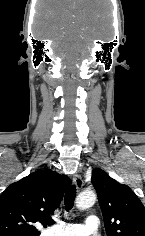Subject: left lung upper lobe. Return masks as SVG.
I'll return each instance as SVG.
<instances>
[{
  "instance_id": "5c2ea615",
  "label": "left lung upper lobe",
  "mask_w": 145,
  "mask_h": 236,
  "mask_svg": "<svg viewBox=\"0 0 145 236\" xmlns=\"http://www.w3.org/2000/svg\"><path fill=\"white\" fill-rule=\"evenodd\" d=\"M91 181L108 236H145V207L131 188L102 169L92 171Z\"/></svg>"
}]
</instances>
